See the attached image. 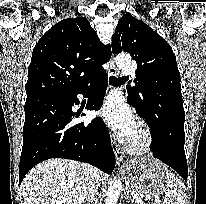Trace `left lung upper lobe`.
<instances>
[{
    "instance_id": "obj_1",
    "label": "left lung upper lobe",
    "mask_w": 206,
    "mask_h": 204,
    "mask_svg": "<svg viewBox=\"0 0 206 204\" xmlns=\"http://www.w3.org/2000/svg\"><path fill=\"white\" fill-rule=\"evenodd\" d=\"M128 52L136 60L135 86L128 101L151 127L160 130L161 117L183 107L180 73L170 45L143 21L123 15L112 37V52Z\"/></svg>"
}]
</instances>
